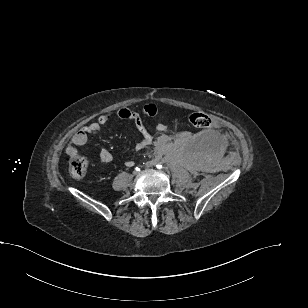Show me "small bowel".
<instances>
[{
  "instance_id": "small-bowel-1",
  "label": "small bowel",
  "mask_w": 308,
  "mask_h": 308,
  "mask_svg": "<svg viewBox=\"0 0 308 308\" xmlns=\"http://www.w3.org/2000/svg\"><path fill=\"white\" fill-rule=\"evenodd\" d=\"M157 114L158 107L155 104H147L144 106L142 113L128 107H123L117 110L113 115H101L97 120L85 125L73 135L71 144L66 148V152L71 157L78 156V147L83 146L87 142L88 136L98 133L102 127L108 124L114 117L129 120L135 125L136 129L141 134V139L136 144L137 150H142L152 144L158 148H163L170 141V136L166 134L167 126L163 123H157L155 125L156 131L160 132L161 135L154 140L144 123L145 118H152ZM99 159L102 163L107 164L113 160V155L108 150L102 149L99 152ZM125 164L127 167H132L134 161L128 160Z\"/></svg>"
}]
</instances>
